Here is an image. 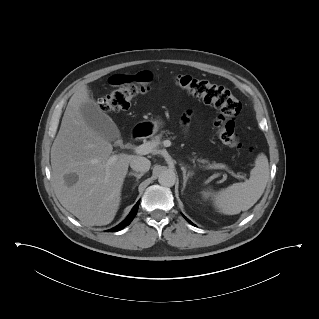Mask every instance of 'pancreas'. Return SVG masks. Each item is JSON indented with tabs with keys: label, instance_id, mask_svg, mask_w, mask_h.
<instances>
[{
	"label": "pancreas",
	"instance_id": "obj_1",
	"mask_svg": "<svg viewBox=\"0 0 319 319\" xmlns=\"http://www.w3.org/2000/svg\"><path fill=\"white\" fill-rule=\"evenodd\" d=\"M166 132H167V131H161L159 134L153 136V137H152V141L155 142V143H157V144H161V139H162L163 135H164ZM167 133H169V132H167ZM193 161H194V159H193ZM197 161H198L199 163H202L203 166H206V167H210V166H213V165L217 164V163H210L209 160H207V159H202V158H198Z\"/></svg>",
	"mask_w": 319,
	"mask_h": 319
}]
</instances>
